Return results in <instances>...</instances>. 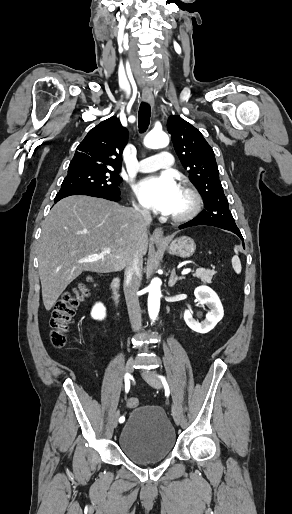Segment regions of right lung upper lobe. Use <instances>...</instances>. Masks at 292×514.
Segmentation results:
<instances>
[{
    "instance_id": "right-lung-upper-lobe-1",
    "label": "right lung upper lobe",
    "mask_w": 292,
    "mask_h": 514,
    "mask_svg": "<svg viewBox=\"0 0 292 514\" xmlns=\"http://www.w3.org/2000/svg\"><path fill=\"white\" fill-rule=\"evenodd\" d=\"M127 141L128 130L118 118L102 121L78 145L68 172H119Z\"/></svg>"
}]
</instances>
